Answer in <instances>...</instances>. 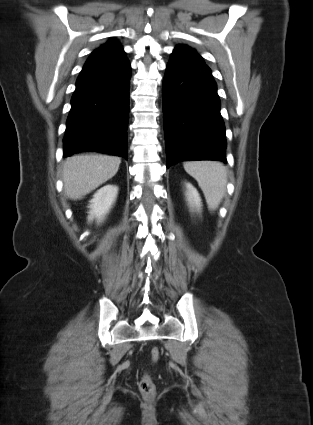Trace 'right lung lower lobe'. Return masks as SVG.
<instances>
[{
  "label": "right lung lower lobe",
  "mask_w": 313,
  "mask_h": 425,
  "mask_svg": "<svg viewBox=\"0 0 313 425\" xmlns=\"http://www.w3.org/2000/svg\"><path fill=\"white\" fill-rule=\"evenodd\" d=\"M130 77L126 57L88 58L71 99L64 157L101 152L127 158Z\"/></svg>",
  "instance_id": "right-lung-lower-lobe-1"
}]
</instances>
